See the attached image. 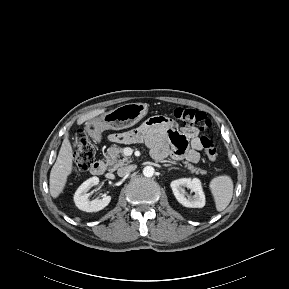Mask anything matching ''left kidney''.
Wrapping results in <instances>:
<instances>
[{
    "label": "left kidney",
    "instance_id": "5707ae66",
    "mask_svg": "<svg viewBox=\"0 0 289 289\" xmlns=\"http://www.w3.org/2000/svg\"><path fill=\"white\" fill-rule=\"evenodd\" d=\"M171 188L177 201L185 207L202 208L205 206V195L202 189L201 181L197 178H181L171 182ZM184 187L194 192V196L186 197Z\"/></svg>",
    "mask_w": 289,
    "mask_h": 289
}]
</instances>
